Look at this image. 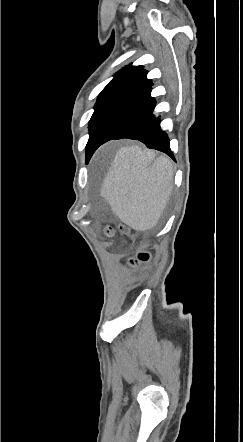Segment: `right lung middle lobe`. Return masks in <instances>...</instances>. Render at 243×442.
I'll return each mask as SVG.
<instances>
[{
	"mask_svg": "<svg viewBox=\"0 0 243 442\" xmlns=\"http://www.w3.org/2000/svg\"><path fill=\"white\" fill-rule=\"evenodd\" d=\"M123 97L120 96H107V97H99L97 99V103L94 107L95 111L89 121V134L90 138L100 125L102 120L106 117V115L110 112V110L119 103ZM89 138V140H90ZM89 142V141H88ZM88 144V143H87ZM87 147V146H86ZM88 162V161H87Z\"/></svg>",
	"mask_w": 243,
	"mask_h": 442,
	"instance_id": "right-lung-middle-lobe-1",
	"label": "right lung middle lobe"
}]
</instances>
